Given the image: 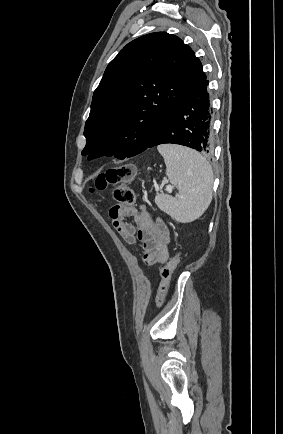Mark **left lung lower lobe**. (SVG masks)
<instances>
[{"label": "left lung lower lobe", "mask_w": 283, "mask_h": 434, "mask_svg": "<svg viewBox=\"0 0 283 434\" xmlns=\"http://www.w3.org/2000/svg\"><path fill=\"white\" fill-rule=\"evenodd\" d=\"M212 113L209 81L205 78L175 104L146 149L173 143L211 153Z\"/></svg>", "instance_id": "1"}]
</instances>
